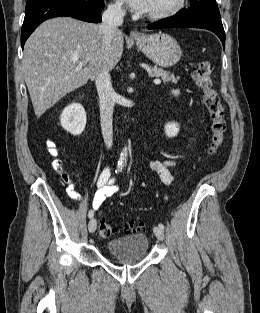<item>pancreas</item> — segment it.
<instances>
[{"instance_id": "cf45deb5", "label": "pancreas", "mask_w": 260, "mask_h": 313, "mask_svg": "<svg viewBox=\"0 0 260 313\" xmlns=\"http://www.w3.org/2000/svg\"><path fill=\"white\" fill-rule=\"evenodd\" d=\"M150 74L156 77H161L164 83H172L176 84L178 81V77H175L173 74H170V72L165 71L161 68H158L157 66L150 67Z\"/></svg>"}]
</instances>
